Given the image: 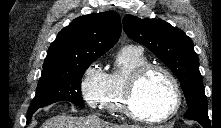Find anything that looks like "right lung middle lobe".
<instances>
[{
    "label": "right lung middle lobe",
    "instance_id": "right-lung-middle-lobe-1",
    "mask_svg": "<svg viewBox=\"0 0 221 128\" xmlns=\"http://www.w3.org/2000/svg\"><path fill=\"white\" fill-rule=\"evenodd\" d=\"M96 59L56 69L43 70L38 82L36 95L30 104L28 113L63 100L84 107L81 96V78L86 69Z\"/></svg>",
    "mask_w": 221,
    "mask_h": 128
}]
</instances>
